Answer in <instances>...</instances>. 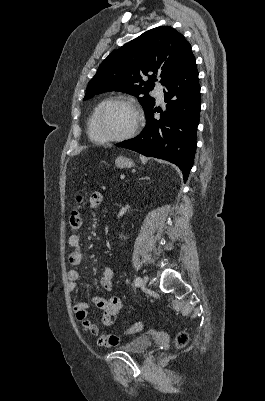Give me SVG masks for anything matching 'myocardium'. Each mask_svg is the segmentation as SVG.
<instances>
[{"mask_svg": "<svg viewBox=\"0 0 265 401\" xmlns=\"http://www.w3.org/2000/svg\"><path fill=\"white\" fill-rule=\"evenodd\" d=\"M118 104L128 105L134 110L135 123H134L133 127L129 131H127L125 134L120 135V136L111 137V138L99 137L96 134V126L100 119V116L109 107L118 105ZM142 122H143V113H142L140 107L134 101L127 99V98L111 99V100L105 101L94 114V116L91 120V124H90V133H91L93 139L98 143L119 142V141H123V140H126V139L132 137L138 131Z\"/></svg>", "mask_w": 265, "mask_h": 401, "instance_id": "1", "label": "myocardium"}]
</instances>
